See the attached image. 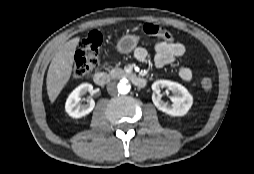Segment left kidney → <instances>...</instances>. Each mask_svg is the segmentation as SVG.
I'll use <instances>...</instances> for the list:
<instances>
[{"instance_id":"5707ae66","label":"left kidney","mask_w":254,"mask_h":174,"mask_svg":"<svg viewBox=\"0 0 254 174\" xmlns=\"http://www.w3.org/2000/svg\"><path fill=\"white\" fill-rule=\"evenodd\" d=\"M167 88L171 93V102H164L161 99L160 89ZM152 101L158 110L165 112L171 116H183L191 108L193 104V97L189 91L177 82L169 80H158L152 84Z\"/></svg>"}]
</instances>
